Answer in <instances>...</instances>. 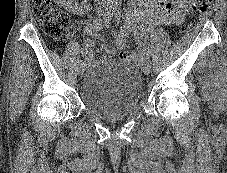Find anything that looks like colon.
Listing matches in <instances>:
<instances>
[{"mask_svg":"<svg viewBox=\"0 0 227 173\" xmlns=\"http://www.w3.org/2000/svg\"><path fill=\"white\" fill-rule=\"evenodd\" d=\"M193 7L206 12L211 5L212 0H193ZM34 15L40 22L44 33L54 39L61 38L69 24L67 15L59 10L57 0H32ZM119 57L124 60H138V54L123 51Z\"/></svg>","mask_w":227,"mask_h":173,"instance_id":"1","label":"colon"}]
</instances>
